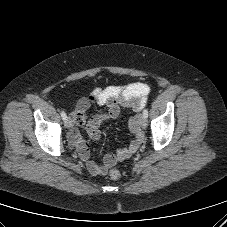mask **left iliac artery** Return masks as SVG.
Instances as JSON below:
<instances>
[{
  "label": "left iliac artery",
  "instance_id": "1",
  "mask_svg": "<svg viewBox=\"0 0 227 227\" xmlns=\"http://www.w3.org/2000/svg\"><path fill=\"white\" fill-rule=\"evenodd\" d=\"M143 116H144L145 118L148 117V110H147V109H145V110L143 111Z\"/></svg>",
  "mask_w": 227,
  "mask_h": 227
}]
</instances>
